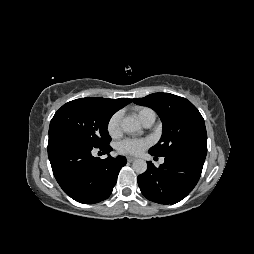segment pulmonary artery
Instances as JSON below:
<instances>
[{"mask_svg": "<svg viewBox=\"0 0 254 254\" xmlns=\"http://www.w3.org/2000/svg\"><path fill=\"white\" fill-rule=\"evenodd\" d=\"M154 123V119L153 118H148L146 119L145 121L142 122V125L145 127V128H150ZM164 162V159H161V163Z\"/></svg>", "mask_w": 254, "mask_h": 254, "instance_id": "1", "label": "pulmonary artery"}]
</instances>
